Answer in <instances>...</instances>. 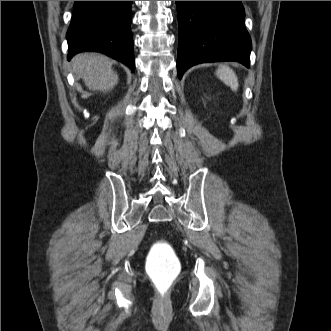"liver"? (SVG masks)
<instances>
[{"mask_svg": "<svg viewBox=\"0 0 331 331\" xmlns=\"http://www.w3.org/2000/svg\"><path fill=\"white\" fill-rule=\"evenodd\" d=\"M72 67L90 90L107 92L114 88L118 76L110 59L96 53H80L73 57Z\"/></svg>", "mask_w": 331, "mask_h": 331, "instance_id": "6515ba94", "label": "liver"}]
</instances>
